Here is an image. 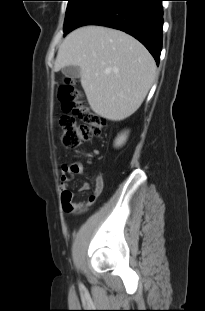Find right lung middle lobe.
Masks as SVG:
<instances>
[{
	"mask_svg": "<svg viewBox=\"0 0 205 311\" xmlns=\"http://www.w3.org/2000/svg\"><path fill=\"white\" fill-rule=\"evenodd\" d=\"M68 6L64 22V34H66L76 19L84 11L86 5L90 0H67Z\"/></svg>",
	"mask_w": 205,
	"mask_h": 311,
	"instance_id": "obj_1",
	"label": "right lung middle lobe"
}]
</instances>
